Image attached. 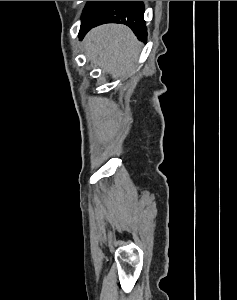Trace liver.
<instances>
[{"label": "liver", "instance_id": "1", "mask_svg": "<svg viewBox=\"0 0 237 300\" xmlns=\"http://www.w3.org/2000/svg\"><path fill=\"white\" fill-rule=\"evenodd\" d=\"M83 43L88 61L112 77H125L133 71L141 47L126 25H100L87 33Z\"/></svg>", "mask_w": 237, "mask_h": 300}]
</instances>
